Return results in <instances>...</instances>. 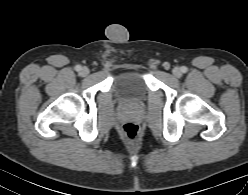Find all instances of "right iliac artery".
<instances>
[{
  "label": "right iliac artery",
  "instance_id": "obj_1",
  "mask_svg": "<svg viewBox=\"0 0 248 195\" xmlns=\"http://www.w3.org/2000/svg\"><path fill=\"white\" fill-rule=\"evenodd\" d=\"M81 69H82V68H81L80 65H77V66L75 67V70L78 71V72L81 71Z\"/></svg>",
  "mask_w": 248,
  "mask_h": 195
}]
</instances>
